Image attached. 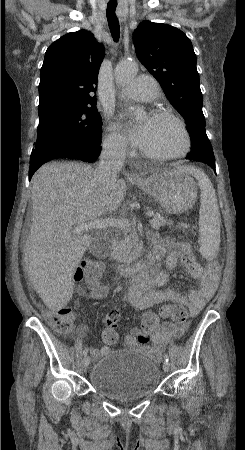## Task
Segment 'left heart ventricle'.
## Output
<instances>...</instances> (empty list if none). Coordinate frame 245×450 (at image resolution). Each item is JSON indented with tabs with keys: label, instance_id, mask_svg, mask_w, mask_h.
Instances as JSON below:
<instances>
[{
	"label": "left heart ventricle",
	"instance_id": "left-heart-ventricle-1",
	"mask_svg": "<svg viewBox=\"0 0 245 450\" xmlns=\"http://www.w3.org/2000/svg\"><path fill=\"white\" fill-rule=\"evenodd\" d=\"M145 137L142 149L149 153L167 155L176 154L184 148V136L179 127L168 119L143 120Z\"/></svg>",
	"mask_w": 245,
	"mask_h": 450
}]
</instances>
